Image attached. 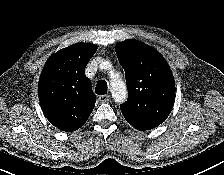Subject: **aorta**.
I'll return each mask as SVG.
<instances>
[{
	"mask_svg": "<svg viewBox=\"0 0 224 175\" xmlns=\"http://www.w3.org/2000/svg\"><path fill=\"white\" fill-rule=\"evenodd\" d=\"M111 93L116 102H124L127 97L125 82L120 77H112L110 81Z\"/></svg>",
	"mask_w": 224,
	"mask_h": 175,
	"instance_id": "762f6f07",
	"label": "aorta"
}]
</instances>
